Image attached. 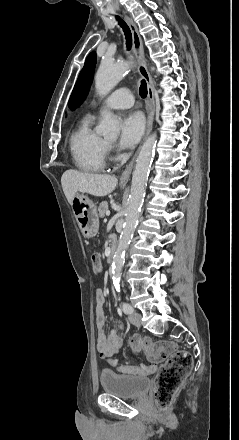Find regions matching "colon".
I'll use <instances>...</instances> for the list:
<instances>
[{
  "label": "colon",
  "instance_id": "colon-1",
  "mask_svg": "<svg viewBox=\"0 0 239 440\" xmlns=\"http://www.w3.org/2000/svg\"><path fill=\"white\" fill-rule=\"evenodd\" d=\"M92 267L95 273L101 272V262L96 255L92 256ZM130 347L134 352L143 351L151 365L149 367L118 365L116 360H113L111 365L123 373H156L155 399L159 407L166 408L192 369L191 354L178 350L176 345L170 341H152L139 335L132 336ZM161 362L163 363L160 367H157V364Z\"/></svg>",
  "mask_w": 239,
  "mask_h": 440
}]
</instances>
